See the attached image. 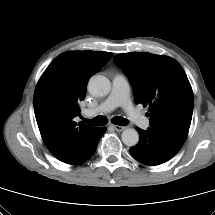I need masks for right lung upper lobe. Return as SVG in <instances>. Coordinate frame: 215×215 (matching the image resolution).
I'll use <instances>...</instances> for the list:
<instances>
[{
	"label": "right lung upper lobe",
	"mask_w": 215,
	"mask_h": 215,
	"mask_svg": "<svg viewBox=\"0 0 215 215\" xmlns=\"http://www.w3.org/2000/svg\"><path fill=\"white\" fill-rule=\"evenodd\" d=\"M105 51H69L57 56L40 77L34 112L42 139L58 160L75 165L98 128L76 123L90 77L112 57Z\"/></svg>",
	"instance_id": "1"
}]
</instances>
